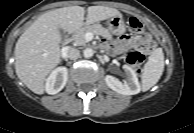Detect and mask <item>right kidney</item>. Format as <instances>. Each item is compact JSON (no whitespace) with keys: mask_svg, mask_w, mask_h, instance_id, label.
I'll return each instance as SVG.
<instances>
[{"mask_svg":"<svg viewBox=\"0 0 194 133\" xmlns=\"http://www.w3.org/2000/svg\"><path fill=\"white\" fill-rule=\"evenodd\" d=\"M68 70L66 67H58L52 71L46 81V92L54 95L60 92L66 85Z\"/></svg>","mask_w":194,"mask_h":133,"instance_id":"ca27d5eb","label":"right kidney"}]
</instances>
